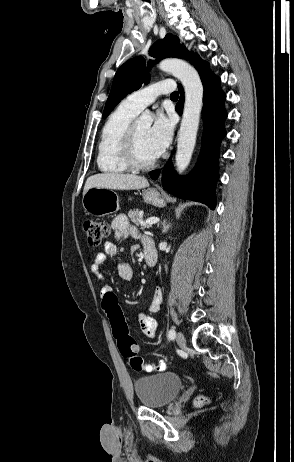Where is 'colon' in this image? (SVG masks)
Masks as SVG:
<instances>
[{
  "label": "colon",
  "instance_id": "obj_1",
  "mask_svg": "<svg viewBox=\"0 0 294 462\" xmlns=\"http://www.w3.org/2000/svg\"><path fill=\"white\" fill-rule=\"evenodd\" d=\"M82 227L90 246H99L109 234V226L103 220L87 219L83 222ZM102 308L110 321L112 332L117 339L120 352L126 358L131 368L136 371L140 370L143 366V359L137 354L136 342L129 333V328L119 302L113 292L103 297ZM205 402V398L197 400L198 405Z\"/></svg>",
  "mask_w": 294,
  "mask_h": 462
}]
</instances>
